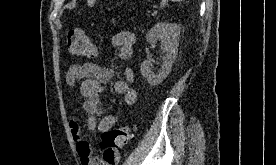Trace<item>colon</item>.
<instances>
[{
	"label": "colon",
	"mask_w": 276,
	"mask_h": 165,
	"mask_svg": "<svg viewBox=\"0 0 276 165\" xmlns=\"http://www.w3.org/2000/svg\"><path fill=\"white\" fill-rule=\"evenodd\" d=\"M67 46L72 54L79 56H93L96 53V47L90 37L79 28L68 30L66 36ZM132 137L130 126H121L116 129L102 133L100 138V147L112 157L115 152L124 148Z\"/></svg>",
	"instance_id": "obj_1"
}]
</instances>
